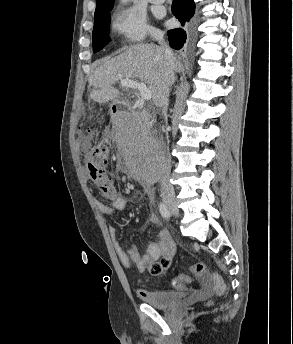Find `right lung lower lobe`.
<instances>
[{"label": "right lung lower lobe", "mask_w": 293, "mask_h": 344, "mask_svg": "<svg viewBox=\"0 0 293 344\" xmlns=\"http://www.w3.org/2000/svg\"><path fill=\"white\" fill-rule=\"evenodd\" d=\"M195 13V3L193 0H173L172 14L181 22H189ZM169 44L174 49H181L186 42V31L177 28L168 31Z\"/></svg>", "instance_id": "1"}]
</instances>
